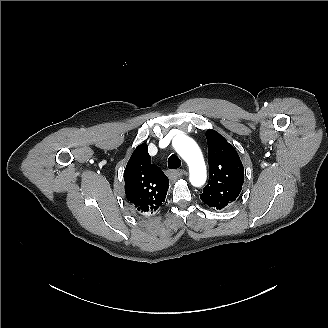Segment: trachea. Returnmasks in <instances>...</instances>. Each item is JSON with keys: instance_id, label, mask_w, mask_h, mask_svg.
Returning a JSON list of instances; mask_svg holds the SVG:
<instances>
[{"instance_id": "3493384b", "label": "trachea", "mask_w": 328, "mask_h": 328, "mask_svg": "<svg viewBox=\"0 0 328 328\" xmlns=\"http://www.w3.org/2000/svg\"><path fill=\"white\" fill-rule=\"evenodd\" d=\"M181 166V161L179 159V157L175 154H172L169 158H168V168L170 169H177Z\"/></svg>"}]
</instances>
